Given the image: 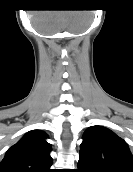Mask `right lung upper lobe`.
Masks as SVG:
<instances>
[{"label":"right lung upper lobe","instance_id":"cb5924a9","mask_svg":"<svg viewBox=\"0 0 133 172\" xmlns=\"http://www.w3.org/2000/svg\"><path fill=\"white\" fill-rule=\"evenodd\" d=\"M41 130L28 132L8 149L0 163V172H52L51 146Z\"/></svg>","mask_w":133,"mask_h":172}]
</instances>
